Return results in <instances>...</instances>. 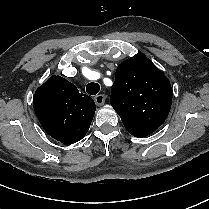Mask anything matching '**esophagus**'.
<instances>
[{"instance_id": "esophagus-1", "label": "esophagus", "mask_w": 209, "mask_h": 209, "mask_svg": "<svg viewBox=\"0 0 209 209\" xmlns=\"http://www.w3.org/2000/svg\"><path fill=\"white\" fill-rule=\"evenodd\" d=\"M106 97L104 94H99L94 97V101L98 106H101L105 103Z\"/></svg>"}]
</instances>
